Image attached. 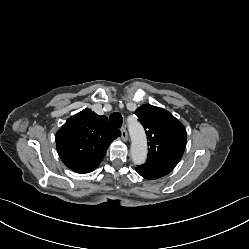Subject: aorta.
Wrapping results in <instances>:
<instances>
[{"instance_id":"aorta-1","label":"aorta","mask_w":249,"mask_h":249,"mask_svg":"<svg viewBox=\"0 0 249 249\" xmlns=\"http://www.w3.org/2000/svg\"><path fill=\"white\" fill-rule=\"evenodd\" d=\"M131 136V158L136 165H141L147 158V139L145 131L137 120L128 124Z\"/></svg>"}]
</instances>
